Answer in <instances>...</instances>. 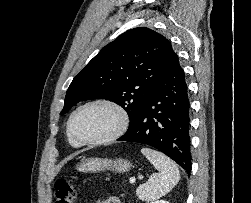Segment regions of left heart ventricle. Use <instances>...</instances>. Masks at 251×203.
Wrapping results in <instances>:
<instances>
[{
    "label": "left heart ventricle",
    "instance_id": "left-heart-ventricle-1",
    "mask_svg": "<svg viewBox=\"0 0 251 203\" xmlns=\"http://www.w3.org/2000/svg\"><path fill=\"white\" fill-rule=\"evenodd\" d=\"M118 117L104 106L81 110L74 118L73 131L81 139L91 140L106 136L116 127Z\"/></svg>",
    "mask_w": 251,
    "mask_h": 203
}]
</instances>
